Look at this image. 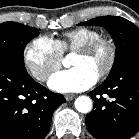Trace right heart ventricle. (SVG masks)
Masks as SVG:
<instances>
[{
    "mask_svg": "<svg viewBox=\"0 0 139 139\" xmlns=\"http://www.w3.org/2000/svg\"><path fill=\"white\" fill-rule=\"evenodd\" d=\"M101 37V33L92 28L79 27L69 30L55 41L61 53L69 50H76L85 43Z\"/></svg>",
    "mask_w": 139,
    "mask_h": 139,
    "instance_id": "e07e8e85",
    "label": "right heart ventricle"
}]
</instances>
